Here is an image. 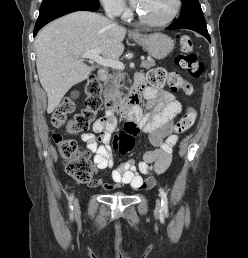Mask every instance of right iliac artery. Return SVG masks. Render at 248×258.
<instances>
[{
    "instance_id": "1",
    "label": "right iliac artery",
    "mask_w": 248,
    "mask_h": 258,
    "mask_svg": "<svg viewBox=\"0 0 248 258\" xmlns=\"http://www.w3.org/2000/svg\"><path fill=\"white\" fill-rule=\"evenodd\" d=\"M72 200H73V195L70 196V209L73 210V206H72ZM73 216V214L71 213V217Z\"/></svg>"
}]
</instances>
